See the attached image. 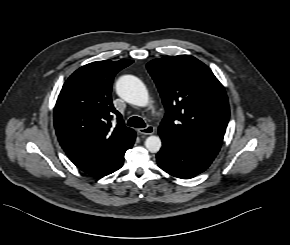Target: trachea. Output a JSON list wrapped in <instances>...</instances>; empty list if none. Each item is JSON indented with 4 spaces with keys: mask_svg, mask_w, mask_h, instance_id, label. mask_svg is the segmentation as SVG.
Masks as SVG:
<instances>
[{
    "mask_svg": "<svg viewBox=\"0 0 290 245\" xmlns=\"http://www.w3.org/2000/svg\"><path fill=\"white\" fill-rule=\"evenodd\" d=\"M127 125H128V126H131V127H136V128H144V127H146V124H145V122L143 121V119L140 118V117H137V116H133V117H131V118L128 120Z\"/></svg>",
    "mask_w": 290,
    "mask_h": 245,
    "instance_id": "1",
    "label": "trachea"
}]
</instances>
